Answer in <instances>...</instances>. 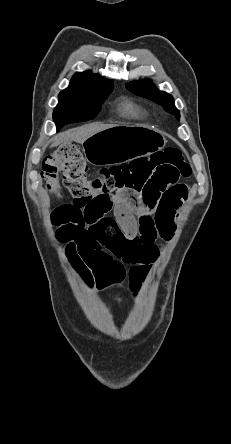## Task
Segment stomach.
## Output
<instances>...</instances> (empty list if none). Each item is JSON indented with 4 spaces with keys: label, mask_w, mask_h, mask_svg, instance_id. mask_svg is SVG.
I'll list each match as a JSON object with an SVG mask.
<instances>
[{
    "label": "stomach",
    "mask_w": 231,
    "mask_h": 444,
    "mask_svg": "<svg viewBox=\"0 0 231 444\" xmlns=\"http://www.w3.org/2000/svg\"><path fill=\"white\" fill-rule=\"evenodd\" d=\"M166 142L163 133L150 126H115L87 138L83 152L91 164H120L159 151Z\"/></svg>",
    "instance_id": "stomach-1"
}]
</instances>
